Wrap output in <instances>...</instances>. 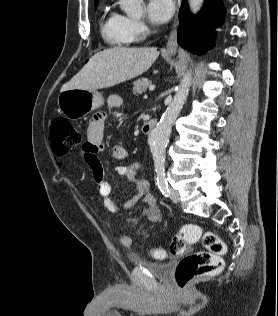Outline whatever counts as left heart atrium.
Listing matches in <instances>:
<instances>
[{
    "instance_id": "39dd6f15",
    "label": "left heart atrium",
    "mask_w": 278,
    "mask_h": 316,
    "mask_svg": "<svg viewBox=\"0 0 278 316\" xmlns=\"http://www.w3.org/2000/svg\"><path fill=\"white\" fill-rule=\"evenodd\" d=\"M173 13L172 0H149L146 5V14L155 24L167 22Z\"/></svg>"
}]
</instances>
